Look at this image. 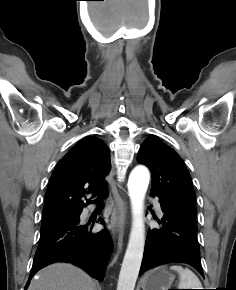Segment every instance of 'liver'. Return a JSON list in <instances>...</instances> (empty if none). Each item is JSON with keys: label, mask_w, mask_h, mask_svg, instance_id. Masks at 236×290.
<instances>
[{"label": "liver", "mask_w": 236, "mask_h": 290, "mask_svg": "<svg viewBox=\"0 0 236 290\" xmlns=\"http://www.w3.org/2000/svg\"><path fill=\"white\" fill-rule=\"evenodd\" d=\"M28 290H96V281L72 264L55 263L40 270Z\"/></svg>", "instance_id": "obj_1"}]
</instances>
